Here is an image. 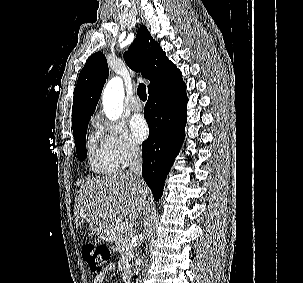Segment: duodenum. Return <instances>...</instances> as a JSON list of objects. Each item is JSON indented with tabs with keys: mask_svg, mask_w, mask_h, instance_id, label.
<instances>
[{
	"mask_svg": "<svg viewBox=\"0 0 303 283\" xmlns=\"http://www.w3.org/2000/svg\"><path fill=\"white\" fill-rule=\"evenodd\" d=\"M122 272H123L124 278L127 280V283H131V281H130V267H129V265H127V264L123 265Z\"/></svg>",
	"mask_w": 303,
	"mask_h": 283,
	"instance_id": "410a0bca",
	"label": "duodenum"
}]
</instances>
